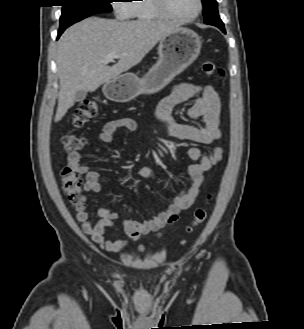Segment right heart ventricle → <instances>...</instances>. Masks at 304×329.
<instances>
[{"label": "right heart ventricle", "instance_id": "1", "mask_svg": "<svg viewBox=\"0 0 304 329\" xmlns=\"http://www.w3.org/2000/svg\"><path fill=\"white\" fill-rule=\"evenodd\" d=\"M130 4L131 17L139 21H155L161 20L164 16L158 11L154 4V0H135Z\"/></svg>", "mask_w": 304, "mask_h": 329}]
</instances>
